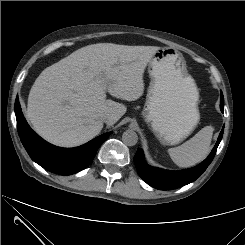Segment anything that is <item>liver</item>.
<instances>
[{
  "label": "liver",
  "mask_w": 245,
  "mask_h": 245,
  "mask_svg": "<svg viewBox=\"0 0 245 245\" xmlns=\"http://www.w3.org/2000/svg\"><path fill=\"white\" fill-rule=\"evenodd\" d=\"M159 49L97 43L82 47L44 69L35 80L27 104V117L45 140L61 147L82 145L125 113L111 96L135 101L143 95V74Z\"/></svg>",
  "instance_id": "obj_1"
}]
</instances>
